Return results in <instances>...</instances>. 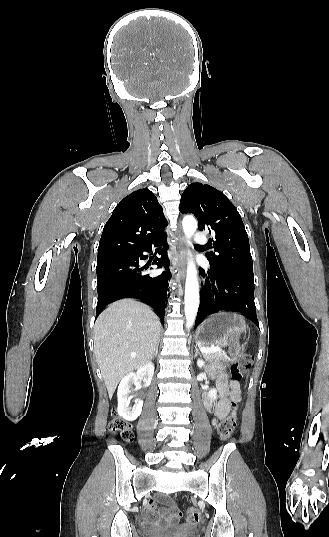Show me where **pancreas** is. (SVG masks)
<instances>
[{
    "label": "pancreas",
    "mask_w": 329,
    "mask_h": 537,
    "mask_svg": "<svg viewBox=\"0 0 329 537\" xmlns=\"http://www.w3.org/2000/svg\"><path fill=\"white\" fill-rule=\"evenodd\" d=\"M204 358L209 362H219L221 360L225 362H229V357L226 356V354L223 351H217L212 353H204Z\"/></svg>",
    "instance_id": "pancreas-1"
}]
</instances>
